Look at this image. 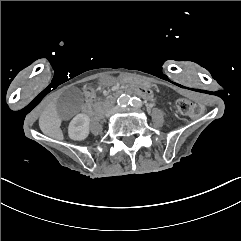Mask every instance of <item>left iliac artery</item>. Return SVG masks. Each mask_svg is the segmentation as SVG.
Instances as JSON below:
<instances>
[{
	"label": "left iliac artery",
	"instance_id": "44dca946",
	"mask_svg": "<svg viewBox=\"0 0 241 241\" xmlns=\"http://www.w3.org/2000/svg\"><path fill=\"white\" fill-rule=\"evenodd\" d=\"M130 105L135 107V108H141L143 104H142V101L139 98L134 97V98L131 99Z\"/></svg>",
	"mask_w": 241,
	"mask_h": 241
}]
</instances>
